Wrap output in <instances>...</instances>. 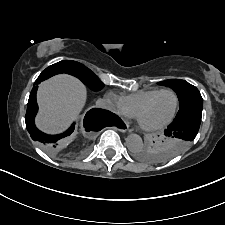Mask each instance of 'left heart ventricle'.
I'll use <instances>...</instances> for the list:
<instances>
[{
    "label": "left heart ventricle",
    "mask_w": 225,
    "mask_h": 225,
    "mask_svg": "<svg viewBox=\"0 0 225 225\" xmlns=\"http://www.w3.org/2000/svg\"><path fill=\"white\" fill-rule=\"evenodd\" d=\"M176 99L170 92L157 96L142 114V122L146 126H156L166 121L175 108Z\"/></svg>",
    "instance_id": "obj_1"
}]
</instances>
